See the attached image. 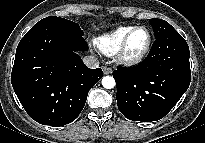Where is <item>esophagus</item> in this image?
<instances>
[{
  "label": "esophagus",
  "mask_w": 205,
  "mask_h": 143,
  "mask_svg": "<svg viewBox=\"0 0 205 143\" xmlns=\"http://www.w3.org/2000/svg\"><path fill=\"white\" fill-rule=\"evenodd\" d=\"M102 70H103V73H104L105 75H108V74H111V73H112V69H111L110 67H108V66H104V67L102 68Z\"/></svg>",
  "instance_id": "obj_1"
}]
</instances>
